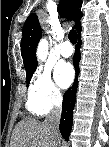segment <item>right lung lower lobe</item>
I'll return each mask as SVG.
<instances>
[{"label":"right lung lower lobe","mask_w":109,"mask_h":147,"mask_svg":"<svg viewBox=\"0 0 109 147\" xmlns=\"http://www.w3.org/2000/svg\"><path fill=\"white\" fill-rule=\"evenodd\" d=\"M81 29L78 31V44L76 46V51L73 57L75 69L77 70V73H79L78 63L80 60V51L79 46L81 45ZM78 87V81L77 78L74 81V84L71 88H69L63 97V104H62V116L60 121V132L63 136V138L68 141L72 122H73V109L75 106L76 101V91Z\"/></svg>","instance_id":"obj_1"}]
</instances>
